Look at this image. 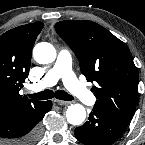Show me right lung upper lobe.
<instances>
[{
    "mask_svg": "<svg viewBox=\"0 0 145 145\" xmlns=\"http://www.w3.org/2000/svg\"><path fill=\"white\" fill-rule=\"evenodd\" d=\"M43 26L42 22L26 24L0 36V113L38 102L19 90L28 77L31 51Z\"/></svg>",
    "mask_w": 145,
    "mask_h": 145,
    "instance_id": "cb5924a9",
    "label": "right lung upper lobe"
}]
</instances>
